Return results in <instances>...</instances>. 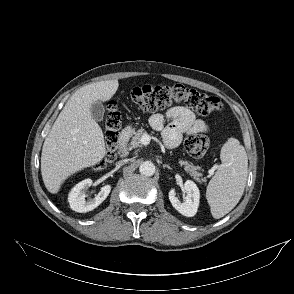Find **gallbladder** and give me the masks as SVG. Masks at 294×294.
Listing matches in <instances>:
<instances>
[{
    "label": "gallbladder",
    "instance_id": "1",
    "mask_svg": "<svg viewBox=\"0 0 294 294\" xmlns=\"http://www.w3.org/2000/svg\"><path fill=\"white\" fill-rule=\"evenodd\" d=\"M91 116L95 121H102L104 116V106L100 101H96L91 105Z\"/></svg>",
    "mask_w": 294,
    "mask_h": 294
}]
</instances>
